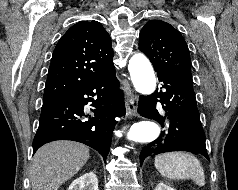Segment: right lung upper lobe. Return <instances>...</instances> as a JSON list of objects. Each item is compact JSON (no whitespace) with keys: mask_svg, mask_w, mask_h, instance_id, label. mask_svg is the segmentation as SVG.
I'll list each match as a JSON object with an SVG mask.
<instances>
[{"mask_svg":"<svg viewBox=\"0 0 238 190\" xmlns=\"http://www.w3.org/2000/svg\"><path fill=\"white\" fill-rule=\"evenodd\" d=\"M109 34L97 21L73 25L57 43L48 71L43 105L61 100L113 70Z\"/></svg>","mask_w":238,"mask_h":190,"instance_id":"obj_1","label":"right lung upper lobe"}]
</instances>
